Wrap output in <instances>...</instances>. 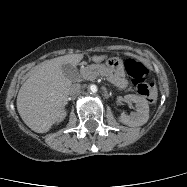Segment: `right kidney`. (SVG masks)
Instances as JSON below:
<instances>
[{
    "label": "right kidney",
    "instance_id": "1",
    "mask_svg": "<svg viewBox=\"0 0 187 187\" xmlns=\"http://www.w3.org/2000/svg\"><path fill=\"white\" fill-rule=\"evenodd\" d=\"M65 116H66V112H65V111H62V112L60 113V115L58 116L57 121H58V122L62 121V120L65 118Z\"/></svg>",
    "mask_w": 187,
    "mask_h": 187
}]
</instances>
